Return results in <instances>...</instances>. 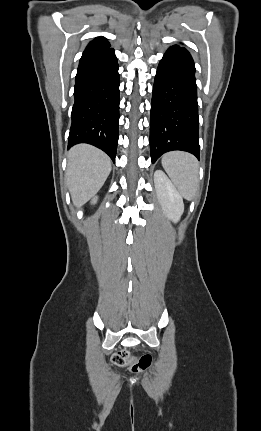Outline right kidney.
I'll list each match as a JSON object with an SVG mask.
<instances>
[{"instance_id":"right-kidney-1","label":"right kidney","mask_w":261,"mask_h":431,"mask_svg":"<svg viewBox=\"0 0 261 431\" xmlns=\"http://www.w3.org/2000/svg\"><path fill=\"white\" fill-rule=\"evenodd\" d=\"M97 200H98V197H97V196H95V197L92 199L91 204H95V203L97 202Z\"/></svg>"}]
</instances>
